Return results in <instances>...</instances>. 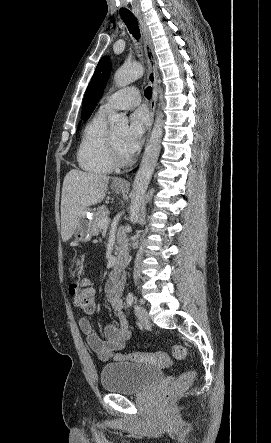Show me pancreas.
Returning a JSON list of instances; mask_svg holds the SVG:
<instances>
[{
    "mask_svg": "<svg viewBox=\"0 0 271 443\" xmlns=\"http://www.w3.org/2000/svg\"><path fill=\"white\" fill-rule=\"evenodd\" d=\"M108 214L109 212H107L106 206H100V208H97V212L94 214V220L91 222L94 235H98L100 229H103V225H100V222L101 220H105Z\"/></svg>",
    "mask_w": 271,
    "mask_h": 443,
    "instance_id": "obj_1",
    "label": "pancreas"
}]
</instances>
